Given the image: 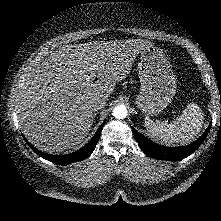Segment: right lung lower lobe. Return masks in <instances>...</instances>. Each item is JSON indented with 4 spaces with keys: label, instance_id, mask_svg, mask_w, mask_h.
I'll return each mask as SVG.
<instances>
[{
    "label": "right lung lower lobe",
    "instance_id": "98d812e1",
    "mask_svg": "<svg viewBox=\"0 0 221 221\" xmlns=\"http://www.w3.org/2000/svg\"><path fill=\"white\" fill-rule=\"evenodd\" d=\"M105 122H106V120L101 124V126L98 128L97 132L95 133V135L93 136V138L91 139V141L87 145H85L84 147H82L81 149H79L73 153H69L66 155L46 154L44 152L39 151L35 147H33L26 139H25V141L30 146V148L40 157H42L50 162L60 164V165L68 164V163L70 164L73 162L84 160L93 152V150L95 149L97 142L100 138L101 130H102Z\"/></svg>",
    "mask_w": 221,
    "mask_h": 221
}]
</instances>
